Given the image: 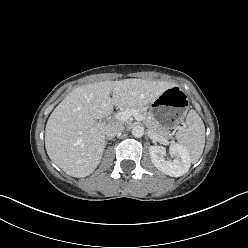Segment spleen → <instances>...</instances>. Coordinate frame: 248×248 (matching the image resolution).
Wrapping results in <instances>:
<instances>
[{
  "label": "spleen",
  "instance_id": "3e777b00",
  "mask_svg": "<svg viewBox=\"0 0 248 248\" xmlns=\"http://www.w3.org/2000/svg\"><path fill=\"white\" fill-rule=\"evenodd\" d=\"M176 138L190 154L192 163L197 162L205 145V126L195 110L189 111L186 123L177 131Z\"/></svg>",
  "mask_w": 248,
  "mask_h": 248
}]
</instances>
